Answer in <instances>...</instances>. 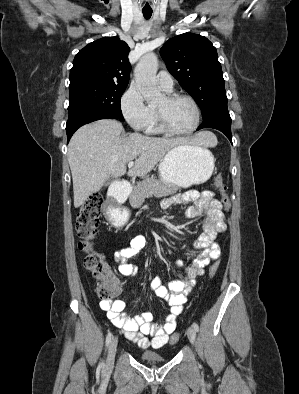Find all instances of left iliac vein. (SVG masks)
Instances as JSON below:
<instances>
[{
  "label": "left iliac vein",
  "mask_w": 299,
  "mask_h": 394,
  "mask_svg": "<svg viewBox=\"0 0 299 394\" xmlns=\"http://www.w3.org/2000/svg\"><path fill=\"white\" fill-rule=\"evenodd\" d=\"M187 336L190 340L191 343L195 342L196 339V330L194 329V327L190 326L187 330Z\"/></svg>",
  "instance_id": "4c4485c4"
}]
</instances>
